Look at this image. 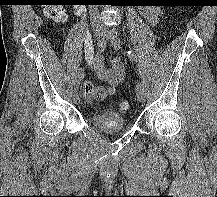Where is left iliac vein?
Instances as JSON below:
<instances>
[{
  "label": "left iliac vein",
  "mask_w": 217,
  "mask_h": 197,
  "mask_svg": "<svg viewBox=\"0 0 217 197\" xmlns=\"http://www.w3.org/2000/svg\"><path fill=\"white\" fill-rule=\"evenodd\" d=\"M102 34L108 40L110 39V32L105 27H102ZM135 92H136L137 99L140 102H143L145 100V89L141 82H137L136 87H135Z\"/></svg>",
  "instance_id": "obj_1"
}]
</instances>
